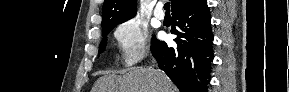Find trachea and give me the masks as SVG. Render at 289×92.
<instances>
[{"label": "trachea", "mask_w": 289, "mask_h": 92, "mask_svg": "<svg viewBox=\"0 0 289 92\" xmlns=\"http://www.w3.org/2000/svg\"><path fill=\"white\" fill-rule=\"evenodd\" d=\"M164 9L166 10L167 13L169 12V10H170V3L169 2L165 3Z\"/></svg>", "instance_id": "obj_1"}]
</instances>
